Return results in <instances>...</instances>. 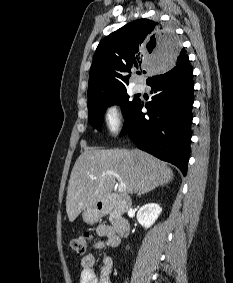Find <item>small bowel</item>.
<instances>
[{
	"instance_id": "1",
	"label": "small bowel",
	"mask_w": 233,
	"mask_h": 283,
	"mask_svg": "<svg viewBox=\"0 0 233 283\" xmlns=\"http://www.w3.org/2000/svg\"><path fill=\"white\" fill-rule=\"evenodd\" d=\"M98 236L102 237L94 243L93 247L96 250L105 249L108 247H116L119 244V239L115 235L112 227L102 224L96 230ZM81 275L80 283H112L111 274L113 269V260L110 257H105L100 267L99 276L94 270L95 257L92 254L84 255L81 258Z\"/></svg>"
}]
</instances>
